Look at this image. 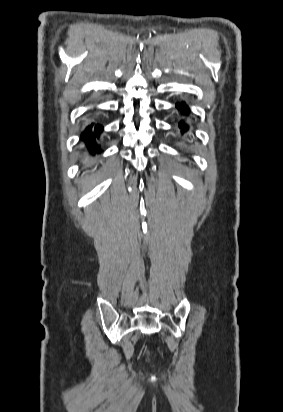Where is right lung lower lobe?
I'll return each mask as SVG.
<instances>
[{
  "label": "right lung lower lobe",
  "instance_id": "1",
  "mask_svg": "<svg viewBox=\"0 0 283 412\" xmlns=\"http://www.w3.org/2000/svg\"><path fill=\"white\" fill-rule=\"evenodd\" d=\"M102 131V125L96 122H92L86 127L85 131L82 133L81 137L83 141L86 142V145L92 154L99 151V147L97 146L95 139H99V136L102 133Z\"/></svg>",
  "mask_w": 283,
  "mask_h": 412
}]
</instances>
